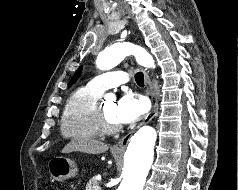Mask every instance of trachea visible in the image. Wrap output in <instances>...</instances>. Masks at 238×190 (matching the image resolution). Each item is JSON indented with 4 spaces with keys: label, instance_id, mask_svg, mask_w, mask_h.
<instances>
[{
    "label": "trachea",
    "instance_id": "3493384b",
    "mask_svg": "<svg viewBox=\"0 0 238 190\" xmlns=\"http://www.w3.org/2000/svg\"><path fill=\"white\" fill-rule=\"evenodd\" d=\"M135 81L139 86H144V77L142 72H137L135 74Z\"/></svg>",
    "mask_w": 238,
    "mask_h": 190
}]
</instances>
